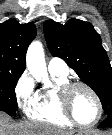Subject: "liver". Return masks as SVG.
<instances>
[{
	"label": "liver",
	"mask_w": 112,
	"mask_h": 135,
	"mask_svg": "<svg viewBox=\"0 0 112 135\" xmlns=\"http://www.w3.org/2000/svg\"><path fill=\"white\" fill-rule=\"evenodd\" d=\"M0 135H73V133L39 122H12L6 113L0 111Z\"/></svg>",
	"instance_id": "6515ba94"
}]
</instances>
